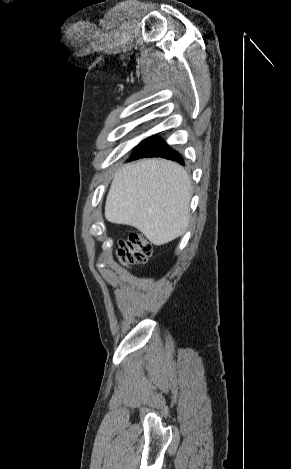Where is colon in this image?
<instances>
[{
    "label": "colon",
    "instance_id": "1",
    "mask_svg": "<svg viewBox=\"0 0 291 469\" xmlns=\"http://www.w3.org/2000/svg\"><path fill=\"white\" fill-rule=\"evenodd\" d=\"M152 246L141 234H132L119 242L117 254L126 265L143 264L151 256Z\"/></svg>",
    "mask_w": 291,
    "mask_h": 469
}]
</instances>
